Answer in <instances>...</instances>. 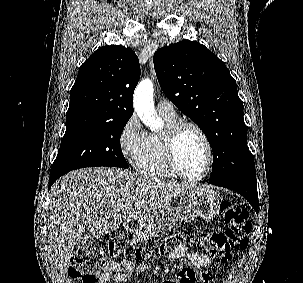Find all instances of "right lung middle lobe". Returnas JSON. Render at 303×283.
I'll use <instances>...</instances> for the list:
<instances>
[{
    "label": "right lung middle lobe",
    "instance_id": "right-lung-middle-lobe-1",
    "mask_svg": "<svg viewBox=\"0 0 303 283\" xmlns=\"http://www.w3.org/2000/svg\"><path fill=\"white\" fill-rule=\"evenodd\" d=\"M128 120L93 117L66 119V132L51 172H69L94 166L129 168L120 146Z\"/></svg>",
    "mask_w": 303,
    "mask_h": 283
}]
</instances>
